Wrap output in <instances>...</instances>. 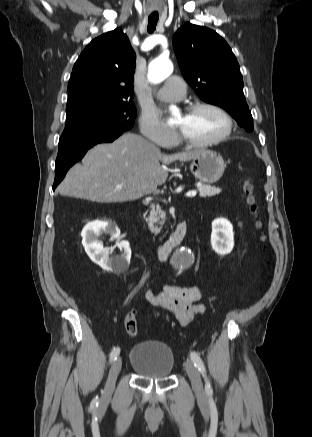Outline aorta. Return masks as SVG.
I'll list each match as a JSON object with an SVG mask.
<instances>
[{"label": "aorta", "instance_id": "aorta-1", "mask_svg": "<svg viewBox=\"0 0 312 437\" xmlns=\"http://www.w3.org/2000/svg\"><path fill=\"white\" fill-rule=\"evenodd\" d=\"M173 71L172 63L167 59L158 58L149 64L148 80L158 84L166 79Z\"/></svg>", "mask_w": 312, "mask_h": 437}]
</instances>
